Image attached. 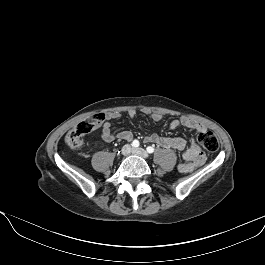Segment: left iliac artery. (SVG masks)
I'll use <instances>...</instances> for the list:
<instances>
[{
  "mask_svg": "<svg viewBox=\"0 0 265 265\" xmlns=\"http://www.w3.org/2000/svg\"><path fill=\"white\" fill-rule=\"evenodd\" d=\"M146 150H147L148 153H153L154 152V148L152 146H148L146 148Z\"/></svg>",
  "mask_w": 265,
  "mask_h": 265,
  "instance_id": "obj_1",
  "label": "left iliac artery"
}]
</instances>
